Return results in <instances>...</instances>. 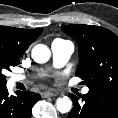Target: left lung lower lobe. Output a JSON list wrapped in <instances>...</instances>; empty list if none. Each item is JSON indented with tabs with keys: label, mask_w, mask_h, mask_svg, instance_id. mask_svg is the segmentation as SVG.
Segmentation results:
<instances>
[{
	"label": "left lung lower lobe",
	"mask_w": 118,
	"mask_h": 118,
	"mask_svg": "<svg viewBox=\"0 0 118 118\" xmlns=\"http://www.w3.org/2000/svg\"><path fill=\"white\" fill-rule=\"evenodd\" d=\"M73 108L67 118H118V94L92 91L79 98L69 94Z\"/></svg>",
	"instance_id": "0a47b994"
}]
</instances>
